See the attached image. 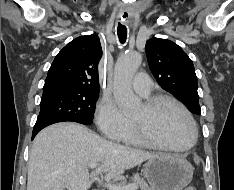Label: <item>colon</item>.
Masks as SVG:
<instances>
[{
    "mask_svg": "<svg viewBox=\"0 0 234 190\" xmlns=\"http://www.w3.org/2000/svg\"><path fill=\"white\" fill-rule=\"evenodd\" d=\"M184 190H196V188L194 186H188Z\"/></svg>",
    "mask_w": 234,
    "mask_h": 190,
    "instance_id": "5ec220e1",
    "label": "colon"
}]
</instances>
